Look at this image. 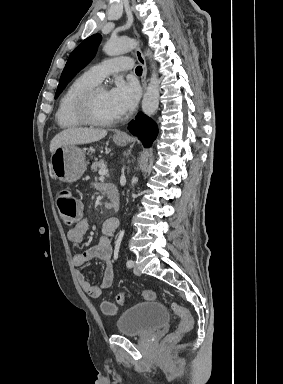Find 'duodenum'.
I'll use <instances>...</instances> for the list:
<instances>
[{"mask_svg": "<svg viewBox=\"0 0 283 384\" xmlns=\"http://www.w3.org/2000/svg\"><path fill=\"white\" fill-rule=\"evenodd\" d=\"M105 193L111 202L112 209L114 211H118L120 208V197H119V193H118L116 186H114L112 184L106 185L105 186Z\"/></svg>", "mask_w": 283, "mask_h": 384, "instance_id": "1", "label": "duodenum"}]
</instances>
